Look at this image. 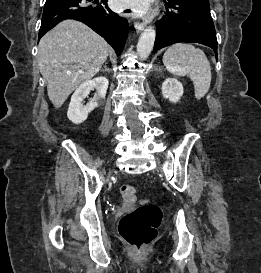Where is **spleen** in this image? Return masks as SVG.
I'll list each match as a JSON object with an SVG mask.
<instances>
[{
  "instance_id": "spleen-1",
  "label": "spleen",
  "mask_w": 261,
  "mask_h": 273,
  "mask_svg": "<svg viewBox=\"0 0 261 273\" xmlns=\"http://www.w3.org/2000/svg\"><path fill=\"white\" fill-rule=\"evenodd\" d=\"M163 63L173 75L190 77L196 99L206 95L212 79L211 66L201 49L187 43L174 44L165 51Z\"/></svg>"
}]
</instances>
